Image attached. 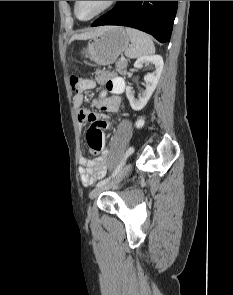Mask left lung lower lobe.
Returning a JSON list of instances; mask_svg holds the SVG:
<instances>
[{
  "label": "left lung lower lobe",
  "mask_w": 233,
  "mask_h": 295,
  "mask_svg": "<svg viewBox=\"0 0 233 295\" xmlns=\"http://www.w3.org/2000/svg\"><path fill=\"white\" fill-rule=\"evenodd\" d=\"M178 1H118L92 26L122 25L139 29L159 42L170 41Z\"/></svg>",
  "instance_id": "1"
}]
</instances>
